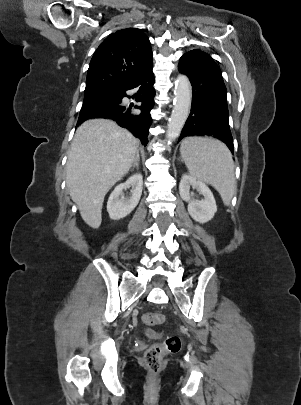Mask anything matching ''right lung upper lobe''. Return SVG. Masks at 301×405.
Wrapping results in <instances>:
<instances>
[{
    "label": "right lung upper lobe",
    "mask_w": 301,
    "mask_h": 405,
    "mask_svg": "<svg viewBox=\"0 0 301 405\" xmlns=\"http://www.w3.org/2000/svg\"><path fill=\"white\" fill-rule=\"evenodd\" d=\"M148 37L137 28L109 35L95 51L87 73L86 89L121 91L152 65Z\"/></svg>",
    "instance_id": "obj_1"
}]
</instances>
